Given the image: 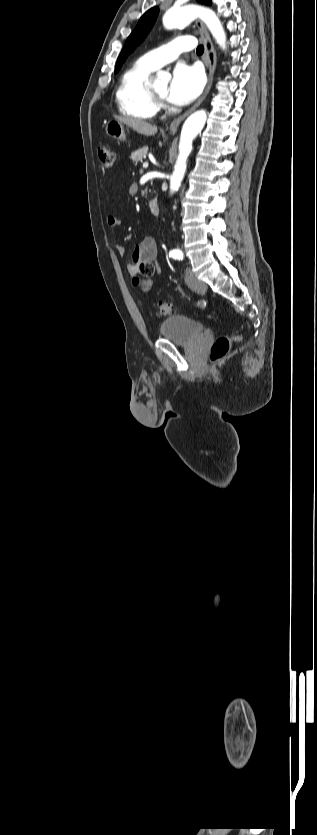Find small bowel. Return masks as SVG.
<instances>
[{"instance_id": "1", "label": "small bowel", "mask_w": 317, "mask_h": 835, "mask_svg": "<svg viewBox=\"0 0 317 835\" xmlns=\"http://www.w3.org/2000/svg\"><path fill=\"white\" fill-rule=\"evenodd\" d=\"M107 224L110 228H116V227L121 225V220H120L119 217H117L115 215H109L107 217ZM113 246H114L116 252L120 256L123 257V256L126 255V250L122 245H120L118 243H114ZM157 251H158L157 243L153 238L146 237V238L142 239L136 245L134 251L131 254V257H130L131 263L128 266L129 273L132 274V275L135 274L137 272L138 264L142 261H147V262L153 263L154 268H155L154 272H156L157 274H160L161 269H160L159 265L156 263ZM151 277L152 276H145L143 278L142 283L140 285L142 290L145 291V290H148L150 288L151 283H152Z\"/></svg>"}]
</instances>
